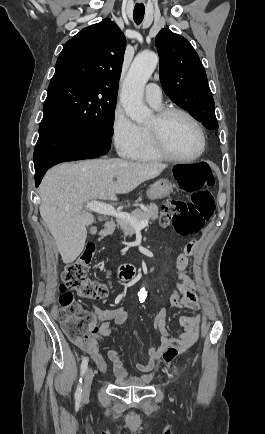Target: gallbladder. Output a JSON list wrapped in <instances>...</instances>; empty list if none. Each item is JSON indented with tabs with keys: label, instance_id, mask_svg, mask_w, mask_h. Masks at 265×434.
<instances>
[{
	"label": "gallbladder",
	"instance_id": "obj_1",
	"mask_svg": "<svg viewBox=\"0 0 265 434\" xmlns=\"http://www.w3.org/2000/svg\"><path fill=\"white\" fill-rule=\"evenodd\" d=\"M92 232H96V228H93Z\"/></svg>",
	"mask_w": 265,
	"mask_h": 434
}]
</instances>
